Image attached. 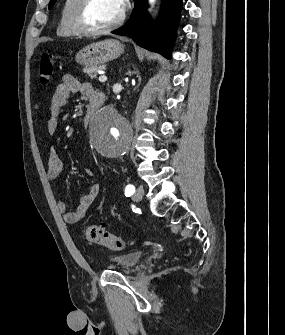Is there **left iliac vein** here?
<instances>
[{
  "label": "left iliac vein",
  "mask_w": 285,
  "mask_h": 335,
  "mask_svg": "<svg viewBox=\"0 0 285 335\" xmlns=\"http://www.w3.org/2000/svg\"><path fill=\"white\" fill-rule=\"evenodd\" d=\"M144 193H145L144 188L142 186H138L133 195V199L135 201H141L144 197Z\"/></svg>",
  "instance_id": "obj_1"
}]
</instances>
